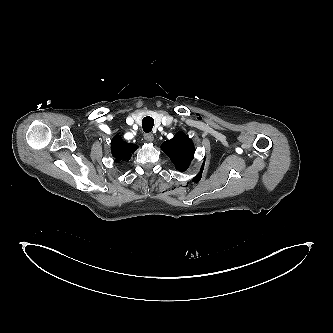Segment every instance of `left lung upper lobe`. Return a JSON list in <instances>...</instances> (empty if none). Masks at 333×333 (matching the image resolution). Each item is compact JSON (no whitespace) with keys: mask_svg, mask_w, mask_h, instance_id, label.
Wrapping results in <instances>:
<instances>
[{"mask_svg":"<svg viewBox=\"0 0 333 333\" xmlns=\"http://www.w3.org/2000/svg\"><path fill=\"white\" fill-rule=\"evenodd\" d=\"M161 148L179 171H185L194 157V145L183 132L176 133L171 140L164 142Z\"/></svg>","mask_w":333,"mask_h":333,"instance_id":"5c2ea615","label":"left lung upper lobe"}]
</instances>
